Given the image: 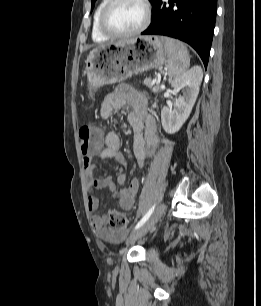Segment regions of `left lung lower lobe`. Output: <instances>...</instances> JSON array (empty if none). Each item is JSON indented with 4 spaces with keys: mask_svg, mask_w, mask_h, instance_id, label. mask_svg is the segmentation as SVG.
I'll use <instances>...</instances> for the list:
<instances>
[{
    "mask_svg": "<svg viewBox=\"0 0 261 306\" xmlns=\"http://www.w3.org/2000/svg\"><path fill=\"white\" fill-rule=\"evenodd\" d=\"M152 4V22L141 34L165 35L186 42L207 67L217 0H153Z\"/></svg>",
    "mask_w": 261,
    "mask_h": 306,
    "instance_id": "obj_1",
    "label": "left lung lower lobe"
}]
</instances>
